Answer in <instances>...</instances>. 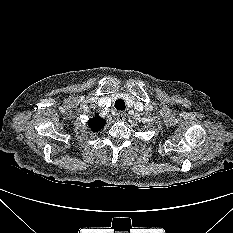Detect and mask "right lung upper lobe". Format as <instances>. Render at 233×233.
<instances>
[{"instance_id": "1", "label": "right lung upper lobe", "mask_w": 233, "mask_h": 233, "mask_svg": "<svg viewBox=\"0 0 233 233\" xmlns=\"http://www.w3.org/2000/svg\"><path fill=\"white\" fill-rule=\"evenodd\" d=\"M88 124L93 132H98L101 128L104 127L105 120L101 119L100 117H94L89 120Z\"/></svg>"}]
</instances>
